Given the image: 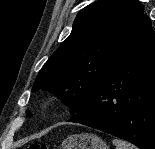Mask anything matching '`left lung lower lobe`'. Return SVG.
Masks as SVG:
<instances>
[{
	"instance_id": "1",
	"label": "left lung lower lobe",
	"mask_w": 155,
	"mask_h": 149,
	"mask_svg": "<svg viewBox=\"0 0 155 149\" xmlns=\"http://www.w3.org/2000/svg\"><path fill=\"white\" fill-rule=\"evenodd\" d=\"M68 122L80 123L141 149H155V36L145 14L108 72Z\"/></svg>"
}]
</instances>
